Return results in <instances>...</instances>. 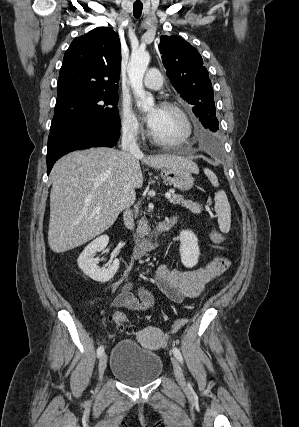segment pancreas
<instances>
[{
	"label": "pancreas",
	"mask_w": 299,
	"mask_h": 427,
	"mask_svg": "<svg viewBox=\"0 0 299 427\" xmlns=\"http://www.w3.org/2000/svg\"><path fill=\"white\" fill-rule=\"evenodd\" d=\"M169 201L173 204L181 205L182 207L188 208L194 214H200L202 211L201 205L191 200H185L184 197L180 194H172ZM150 228L148 226V222L145 218H141L138 221V236L144 237L148 235Z\"/></svg>",
	"instance_id": "cf45deb5"
}]
</instances>
